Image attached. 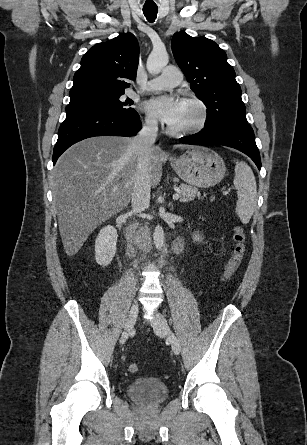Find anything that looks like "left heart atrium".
Wrapping results in <instances>:
<instances>
[{
	"mask_svg": "<svg viewBox=\"0 0 307 445\" xmlns=\"http://www.w3.org/2000/svg\"><path fill=\"white\" fill-rule=\"evenodd\" d=\"M186 101L173 92H159L151 97L145 108L169 125L175 123L183 113Z\"/></svg>",
	"mask_w": 307,
	"mask_h": 445,
	"instance_id": "1",
	"label": "left heart atrium"
}]
</instances>
